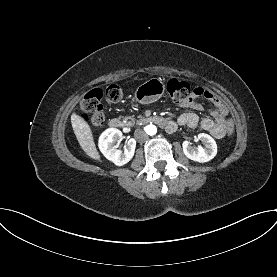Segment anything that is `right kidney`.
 <instances>
[{
  "label": "right kidney",
  "mask_w": 277,
  "mask_h": 277,
  "mask_svg": "<svg viewBox=\"0 0 277 277\" xmlns=\"http://www.w3.org/2000/svg\"><path fill=\"white\" fill-rule=\"evenodd\" d=\"M122 139V132L116 128L105 130L99 138V148L103 155L117 166H123L134 156L136 140L129 139L124 151L117 149V143Z\"/></svg>",
  "instance_id": "1"
}]
</instances>
